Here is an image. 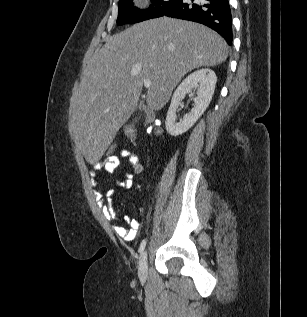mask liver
<instances>
[{
    "mask_svg": "<svg viewBox=\"0 0 307 317\" xmlns=\"http://www.w3.org/2000/svg\"><path fill=\"white\" fill-rule=\"evenodd\" d=\"M229 53L212 29L161 17L107 38L87 65L70 102L75 140L90 164L97 163L121 126L135 111L144 80L147 105L159 110L190 71L216 66Z\"/></svg>",
    "mask_w": 307,
    "mask_h": 317,
    "instance_id": "1",
    "label": "liver"
}]
</instances>
